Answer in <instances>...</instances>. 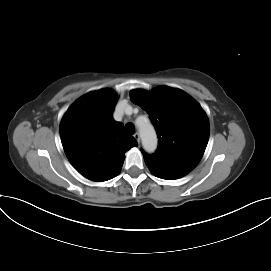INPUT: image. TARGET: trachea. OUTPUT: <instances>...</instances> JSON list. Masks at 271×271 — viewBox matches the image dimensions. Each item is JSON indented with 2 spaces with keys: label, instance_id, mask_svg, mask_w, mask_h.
Here are the masks:
<instances>
[{
  "label": "trachea",
  "instance_id": "1",
  "mask_svg": "<svg viewBox=\"0 0 271 271\" xmlns=\"http://www.w3.org/2000/svg\"><path fill=\"white\" fill-rule=\"evenodd\" d=\"M125 132L127 133V134H129V135H133L134 134V132H135V127H134V125L132 124V123H127L126 125H125Z\"/></svg>",
  "mask_w": 271,
  "mask_h": 271
}]
</instances>
